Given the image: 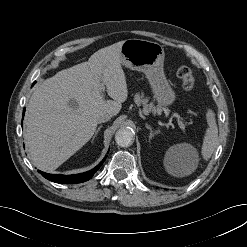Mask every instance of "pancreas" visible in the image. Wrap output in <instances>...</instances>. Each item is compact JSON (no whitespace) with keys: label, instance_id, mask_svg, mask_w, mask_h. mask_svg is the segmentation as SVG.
I'll return each mask as SVG.
<instances>
[{"label":"pancreas","instance_id":"cf45deb5","mask_svg":"<svg viewBox=\"0 0 247 247\" xmlns=\"http://www.w3.org/2000/svg\"><path fill=\"white\" fill-rule=\"evenodd\" d=\"M148 99L147 98H143V95L140 94H136L135 95V103L140 106H143V113L144 114H149L151 112H155L157 110V108L154 106L153 103H148Z\"/></svg>","mask_w":247,"mask_h":247}]
</instances>
